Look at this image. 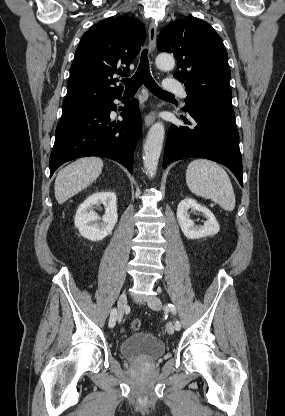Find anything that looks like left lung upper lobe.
<instances>
[{"mask_svg": "<svg viewBox=\"0 0 285 416\" xmlns=\"http://www.w3.org/2000/svg\"><path fill=\"white\" fill-rule=\"evenodd\" d=\"M160 51L174 53V77L185 82L186 111L192 108L233 110L227 51L220 36L206 22L188 16L164 27L158 38Z\"/></svg>", "mask_w": 285, "mask_h": 416, "instance_id": "1", "label": "left lung upper lobe"}]
</instances>
